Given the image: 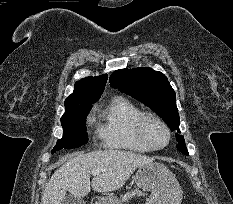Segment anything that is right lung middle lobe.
Masks as SVG:
<instances>
[{
	"mask_svg": "<svg viewBox=\"0 0 233 204\" xmlns=\"http://www.w3.org/2000/svg\"><path fill=\"white\" fill-rule=\"evenodd\" d=\"M91 108L92 105L66 109L65 114L61 118L63 137L57 141V144L52 149V153L61 149L78 148L88 142L85 123Z\"/></svg>",
	"mask_w": 233,
	"mask_h": 204,
	"instance_id": "1",
	"label": "right lung middle lobe"
}]
</instances>
